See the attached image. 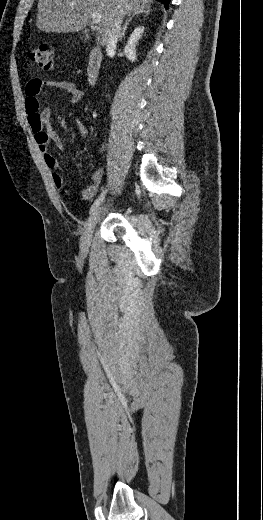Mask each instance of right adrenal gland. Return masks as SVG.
Returning a JSON list of instances; mask_svg holds the SVG:
<instances>
[{
    "mask_svg": "<svg viewBox=\"0 0 263 520\" xmlns=\"http://www.w3.org/2000/svg\"><path fill=\"white\" fill-rule=\"evenodd\" d=\"M150 13V8H146L144 10H141V11H137V12H134L133 15L126 21L122 31H121V34H120V37H119V40L121 41L123 39V37L125 36V32H126V29L129 25V23L132 21V19L136 16L138 17L139 15H144V16H148Z\"/></svg>",
    "mask_w": 263,
    "mask_h": 520,
    "instance_id": "1",
    "label": "right adrenal gland"
}]
</instances>
